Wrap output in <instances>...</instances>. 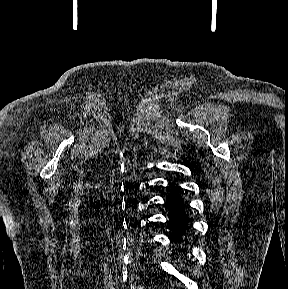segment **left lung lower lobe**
I'll use <instances>...</instances> for the list:
<instances>
[{
  "label": "left lung lower lobe",
  "instance_id": "1",
  "mask_svg": "<svg viewBox=\"0 0 288 289\" xmlns=\"http://www.w3.org/2000/svg\"><path fill=\"white\" fill-rule=\"evenodd\" d=\"M167 189L169 190V194L166 196L168 218L170 227L174 232L172 239L176 241L186 234V231L189 229V220L185 211L186 206L180 194L181 189L172 183Z\"/></svg>",
  "mask_w": 288,
  "mask_h": 289
}]
</instances>
